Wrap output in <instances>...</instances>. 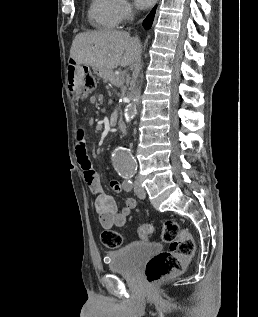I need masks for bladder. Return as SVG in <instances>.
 <instances>
[{
	"label": "bladder",
	"instance_id": "bladder-1",
	"mask_svg": "<svg viewBox=\"0 0 258 317\" xmlns=\"http://www.w3.org/2000/svg\"><path fill=\"white\" fill-rule=\"evenodd\" d=\"M162 252L158 243L132 242L125 247L108 253L107 261L111 271H133L144 260Z\"/></svg>",
	"mask_w": 258,
	"mask_h": 317
}]
</instances>
